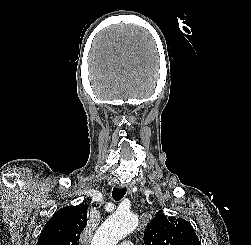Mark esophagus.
Returning a JSON list of instances; mask_svg holds the SVG:
<instances>
[{"instance_id": "obj_1", "label": "esophagus", "mask_w": 251, "mask_h": 245, "mask_svg": "<svg viewBox=\"0 0 251 245\" xmlns=\"http://www.w3.org/2000/svg\"><path fill=\"white\" fill-rule=\"evenodd\" d=\"M119 187L124 188L126 187L129 192L132 190V184H119Z\"/></svg>"}]
</instances>
